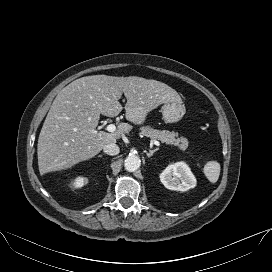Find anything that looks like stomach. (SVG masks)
I'll use <instances>...</instances> for the list:
<instances>
[{"label": "stomach", "mask_w": 272, "mask_h": 272, "mask_svg": "<svg viewBox=\"0 0 272 272\" xmlns=\"http://www.w3.org/2000/svg\"><path fill=\"white\" fill-rule=\"evenodd\" d=\"M185 114V106L182 101L167 102L162 107V115L167 123L180 121Z\"/></svg>", "instance_id": "obj_1"}]
</instances>
